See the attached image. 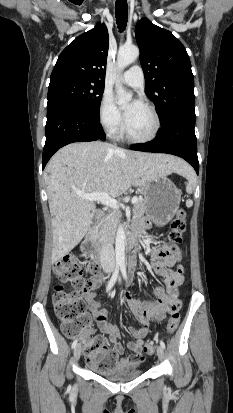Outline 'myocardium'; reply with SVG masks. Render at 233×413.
Returning a JSON list of instances; mask_svg holds the SVG:
<instances>
[{
	"label": "myocardium",
	"instance_id": "obj_1",
	"mask_svg": "<svg viewBox=\"0 0 233 413\" xmlns=\"http://www.w3.org/2000/svg\"><path fill=\"white\" fill-rule=\"evenodd\" d=\"M142 105L146 107L151 113L153 120H154V128L149 136L144 137V138H138V137L132 136L129 133L127 121H125L124 136L129 142L136 143V144H145V143L154 141L158 137L160 130H161V120H160V116L156 108L149 102H142Z\"/></svg>",
	"mask_w": 233,
	"mask_h": 413
}]
</instances>
